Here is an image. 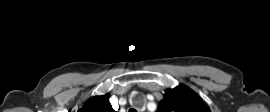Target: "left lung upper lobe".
Wrapping results in <instances>:
<instances>
[{
    "label": "left lung upper lobe",
    "mask_w": 270,
    "mask_h": 112,
    "mask_svg": "<svg viewBox=\"0 0 270 112\" xmlns=\"http://www.w3.org/2000/svg\"><path fill=\"white\" fill-rule=\"evenodd\" d=\"M156 112H211L204 101L189 87L168 89Z\"/></svg>",
    "instance_id": "5c2ea615"
}]
</instances>
